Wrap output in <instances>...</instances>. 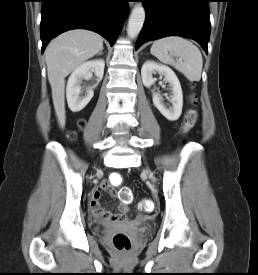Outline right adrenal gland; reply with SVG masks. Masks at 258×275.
<instances>
[{"instance_id": "obj_1", "label": "right adrenal gland", "mask_w": 258, "mask_h": 275, "mask_svg": "<svg viewBox=\"0 0 258 275\" xmlns=\"http://www.w3.org/2000/svg\"><path fill=\"white\" fill-rule=\"evenodd\" d=\"M102 54H103V49L97 55H102Z\"/></svg>"}]
</instances>
